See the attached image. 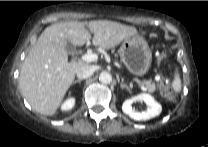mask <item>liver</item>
<instances>
[{
    "label": "liver",
    "mask_w": 208,
    "mask_h": 147,
    "mask_svg": "<svg viewBox=\"0 0 208 147\" xmlns=\"http://www.w3.org/2000/svg\"><path fill=\"white\" fill-rule=\"evenodd\" d=\"M92 44L110 49L138 34L134 27L110 21L64 22L47 27L28 52L20 70V91L33 109L52 114L86 63L68 61L67 46Z\"/></svg>",
    "instance_id": "liver-1"
}]
</instances>
